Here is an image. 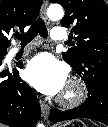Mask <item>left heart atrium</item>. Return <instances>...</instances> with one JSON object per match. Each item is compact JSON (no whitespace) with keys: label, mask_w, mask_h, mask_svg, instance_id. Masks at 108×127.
Listing matches in <instances>:
<instances>
[{"label":"left heart atrium","mask_w":108,"mask_h":127,"mask_svg":"<svg viewBox=\"0 0 108 127\" xmlns=\"http://www.w3.org/2000/svg\"><path fill=\"white\" fill-rule=\"evenodd\" d=\"M25 78L38 91L55 95L66 86L67 69L51 54L41 53L28 62Z\"/></svg>","instance_id":"left-heart-atrium-1"}]
</instances>
